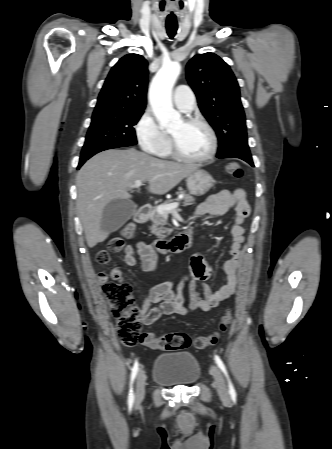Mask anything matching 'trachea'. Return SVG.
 Instances as JSON below:
<instances>
[{
  "label": "trachea",
  "mask_w": 332,
  "mask_h": 449,
  "mask_svg": "<svg viewBox=\"0 0 332 449\" xmlns=\"http://www.w3.org/2000/svg\"><path fill=\"white\" fill-rule=\"evenodd\" d=\"M166 29L168 36L172 39L177 32V26H166Z\"/></svg>",
  "instance_id": "3493384b"
}]
</instances>
